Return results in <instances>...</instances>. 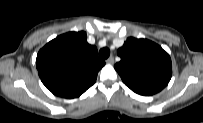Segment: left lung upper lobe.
I'll return each instance as SVG.
<instances>
[{"label":"left lung upper lobe","instance_id":"1","mask_svg":"<svg viewBox=\"0 0 203 123\" xmlns=\"http://www.w3.org/2000/svg\"><path fill=\"white\" fill-rule=\"evenodd\" d=\"M117 54L121 61L114 68L125 85L137 94L153 95L161 91L171 79L169 54L150 40L130 37Z\"/></svg>","mask_w":203,"mask_h":123}]
</instances>
